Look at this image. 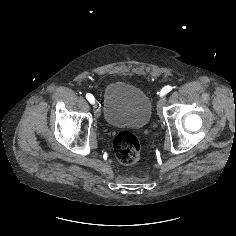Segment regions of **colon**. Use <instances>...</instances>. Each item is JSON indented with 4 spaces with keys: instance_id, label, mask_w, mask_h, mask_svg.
Listing matches in <instances>:
<instances>
[{
    "instance_id": "obj_1",
    "label": "colon",
    "mask_w": 236,
    "mask_h": 236,
    "mask_svg": "<svg viewBox=\"0 0 236 236\" xmlns=\"http://www.w3.org/2000/svg\"><path fill=\"white\" fill-rule=\"evenodd\" d=\"M113 149L117 159L123 164L136 163L141 154V143L136 135L120 132L113 141Z\"/></svg>"
}]
</instances>
